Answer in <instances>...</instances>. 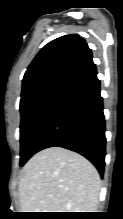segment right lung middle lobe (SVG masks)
Wrapping results in <instances>:
<instances>
[{"label":"right lung middle lobe","instance_id":"obj_1","mask_svg":"<svg viewBox=\"0 0 123 219\" xmlns=\"http://www.w3.org/2000/svg\"><path fill=\"white\" fill-rule=\"evenodd\" d=\"M69 80H54L21 94L20 166L33 155V144Z\"/></svg>","mask_w":123,"mask_h":219}]
</instances>
